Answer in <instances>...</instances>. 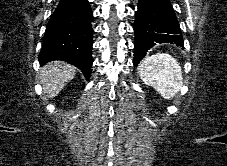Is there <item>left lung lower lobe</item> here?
I'll list each match as a JSON object with an SVG mask.
<instances>
[{
	"label": "left lung lower lobe",
	"mask_w": 227,
	"mask_h": 166,
	"mask_svg": "<svg viewBox=\"0 0 227 166\" xmlns=\"http://www.w3.org/2000/svg\"><path fill=\"white\" fill-rule=\"evenodd\" d=\"M134 32V66L156 43L183 46L181 29L170 0H139Z\"/></svg>",
	"instance_id": "0a47b994"
}]
</instances>
